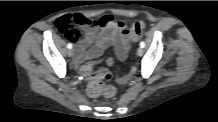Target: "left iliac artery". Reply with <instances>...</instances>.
I'll list each match as a JSON object with an SVG mask.
<instances>
[{"label":"left iliac artery","instance_id":"obj_1","mask_svg":"<svg viewBox=\"0 0 218 122\" xmlns=\"http://www.w3.org/2000/svg\"><path fill=\"white\" fill-rule=\"evenodd\" d=\"M140 46H141L142 48H144V47H145V43H144L143 41H141V42H140Z\"/></svg>","mask_w":218,"mask_h":122}]
</instances>
